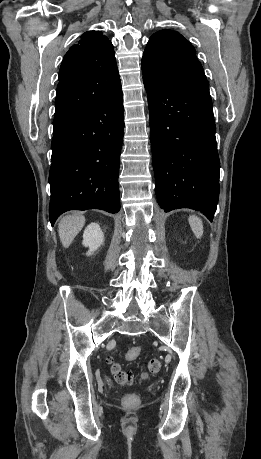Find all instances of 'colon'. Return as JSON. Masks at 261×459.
<instances>
[{
	"instance_id": "colon-1",
	"label": "colon",
	"mask_w": 261,
	"mask_h": 459,
	"mask_svg": "<svg viewBox=\"0 0 261 459\" xmlns=\"http://www.w3.org/2000/svg\"><path fill=\"white\" fill-rule=\"evenodd\" d=\"M139 347H132L125 353V358L127 360H135L140 355ZM110 372L113 375L115 381L122 386H130L134 382V376L131 372L125 371L121 368L120 364L114 361L113 359L108 360ZM161 368V363L158 359H151L147 365V371L151 374H156ZM146 377V373L142 375V378ZM138 401V398L133 394H128L123 398V402L126 405H134Z\"/></svg>"
}]
</instances>
